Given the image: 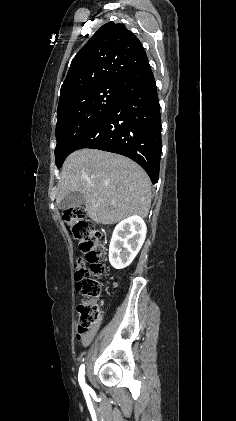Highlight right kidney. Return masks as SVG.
<instances>
[{
    "label": "right kidney",
    "instance_id": "obj_1",
    "mask_svg": "<svg viewBox=\"0 0 236 421\" xmlns=\"http://www.w3.org/2000/svg\"><path fill=\"white\" fill-rule=\"evenodd\" d=\"M147 227L137 215L128 217L115 227L109 247V263L114 269H125L139 253Z\"/></svg>",
    "mask_w": 236,
    "mask_h": 421
}]
</instances>
